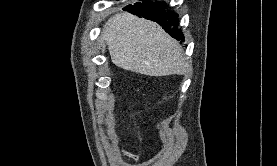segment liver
Masks as SVG:
<instances>
[{
	"mask_svg": "<svg viewBox=\"0 0 277 166\" xmlns=\"http://www.w3.org/2000/svg\"><path fill=\"white\" fill-rule=\"evenodd\" d=\"M103 37L112 62L124 70L157 77L187 69L182 46L152 21L117 13L106 22Z\"/></svg>",
	"mask_w": 277,
	"mask_h": 166,
	"instance_id": "1",
	"label": "liver"
}]
</instances>
